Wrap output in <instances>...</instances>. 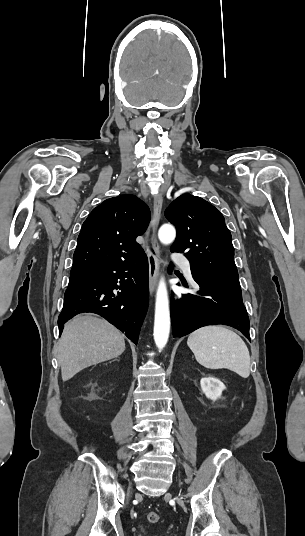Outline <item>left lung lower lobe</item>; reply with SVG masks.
<instances>
[{
    "mask_svg": "<svg viewBox=\"0 0 305 536\" xmlns=\"http://www.w3.org/2000/svg\"><path fill=\"white\" fill-rule=\"evenodd\" d=\"M192 277L200 290L182 294L177 302L171 301L173 337L185 336L203 326L223 324L238 329L250 340L239 279L195 274Z\"/></svg>",
    "mask_w": 305,
    "mask_h": 536,
    "instance_id": "left-lung-lower-lobe-1",
    "label": "left lung lower lobe"
}]
</instances>
